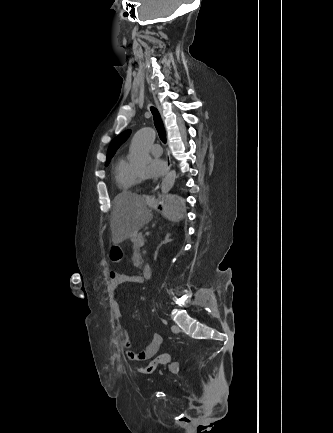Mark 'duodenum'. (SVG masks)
I'll return each instance as SVG.
<instances>
[{
	"label": "duodenum",
	"instance_id": "duodenum-1",
	"mask_svg": "<svg viewBox=\"0 0 333 433\" xmlns=\"http://www.w3.org/2000/svg\"><path fill=\"white\" fill-rule=\"evenodd\" d=\"M131 241L135 242L136 238L132 237ZM142 274L145 279H150L152 277V267L149 264H145L142 268Z\"/></svg>",
	"mask_w": 333,
	"mask_h": 433
}]
</instances>
